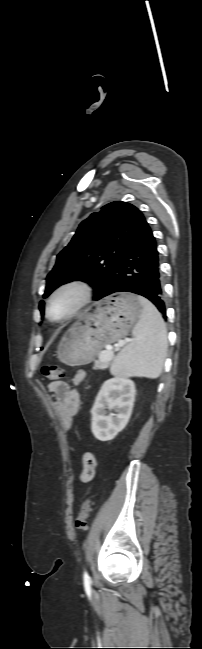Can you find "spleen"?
I'll return each mask as SVG.
<instances>
[{"label":"spleen","mask_w":202,"mask_h":649,"mask_svg":"<svg viewBox=\"0 0 202 649\" xmlns=\"http://www.w3.org/2000/svg\"><path fill=\"white\" fill-rule=\"evenodd\" d=\"M138 301L143 310L132 331L134 340L115 357L110 372L118 376L157 378L168 346L166 325L150 301L142 296H138Z\"/></svg>","instance_id":"1"}]
</instances>
